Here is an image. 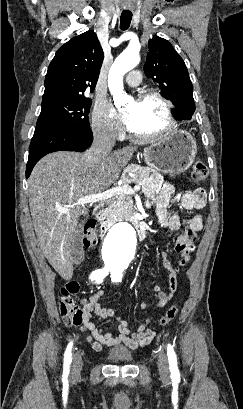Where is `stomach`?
I'll return each mask as SVG.
<instances>
[{
    "instance_id": "1",
    "label": "stomach",
    "mask_w": 243,
    "mask_h": 409,
    "mask_svg": "<svg viewBox=\"0 0 243 409\" xmlns=\"http://www.w3.org/2000/svg\"><path fill=\"white\" fill-rule=\"evenodd\" d=\"M197 152L194 137L183 130H174L143 151V158L153 170L178 174L188 169Z\"/></svg>"
}]
</instances>
